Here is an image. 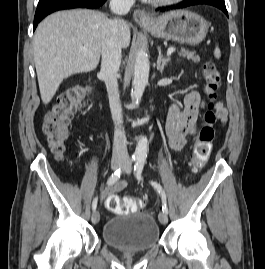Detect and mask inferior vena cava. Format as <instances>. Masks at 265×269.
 Instances as JSON below:
<instances>
[{"instance_id":"1","label":"inferior vena cava","mask_w":265,"mask_h":269,"mask_svg":"<svg viewBox=\"0 0 265 269\" xmlns=\"http://www.w3.org/2000/svg\"><path fill=\"white\" fill-rule=\"evenodd\" d=\"M135 0H111L110 9L118 15H125ZM121 64V43L119 39L118 20L106 22L102 33L101 73L106 84L112 119L115 125L113 140V160H127V140L122 127V108L120 104L117 74Z\"/></svg>"}]
</instances>
